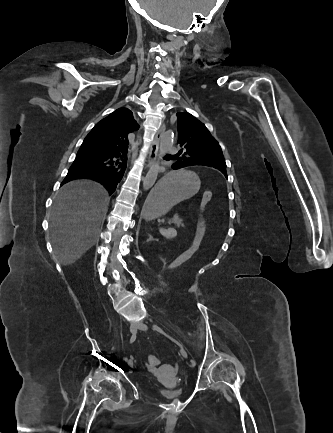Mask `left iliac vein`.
I'll return each instance as SVG.
<instances>
[{
	"label": "left iliac vein",
	"instance_id": "left-iliac-vein-1",
	"mask_svg": "<svg viewBox=\"0 0 333 433\" xmlns=\"http://www.w3.org/2000/svg\"><path fill=\"white\" fill-rule=\"evenodd\" d=\"M135 326H136V329L138 328L139 330H144L145 331V330L148 329L147 325L145 323H143V322H138V323H136ZM180 354L184 358L188 357L187 352L183 348L180 349Z\"/></svg>",
	"mask_w": 333,
	"mask_h": 433
}]
</instances>
